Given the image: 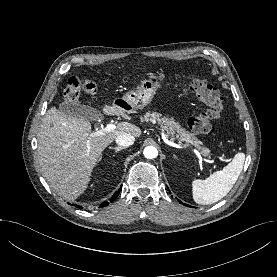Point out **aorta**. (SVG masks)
I'll return each mask as SVG.
<instances>
[{"instance_id":"obj_1","label":"aorta","mask_w":277,"mask_h":277,"mask_svg":"<svg viewBox=\"0 0 277 277\" xmlns=\"http://www.w3.org/2000/svg\"><path fill=\"white\" fill-rule=\"evenodd\" d=\"M143 154L146 158L148 159H154L157 157L158 155V151L155 147L153 146H147L145 147Z\"/></svg>"}]
</instances>
